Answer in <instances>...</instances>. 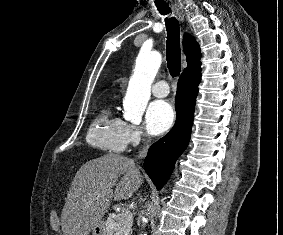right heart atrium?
<instances>
[{"instance_id": "d8ad5b80", "label": "right heart atrium", "mask_w": 283, "mask_h": 235, "mask_svg": "<svg viewBox=\"0 0 283 235\" xmlns=\"http://www.w3.org/2000/svg\"><path fill=\"white\" fill-rule=\"evenodd\" d=\"M125 133L127 143L130 145H137L147 137L141 126L129 123H125Z\"/></svg>"}]
</instances>
